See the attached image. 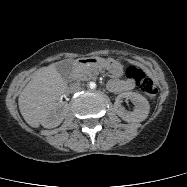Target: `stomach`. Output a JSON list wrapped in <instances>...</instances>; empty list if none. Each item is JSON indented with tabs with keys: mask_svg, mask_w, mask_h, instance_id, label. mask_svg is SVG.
Returning <instances> with one entry per match:
<instances>
[{
	"mask_svg": "<svg viewBox=\"0 0 187 187\" xmlns=\"http://www.w3.org/2000/svg\"><path fill=\"white\" fill-rule=\"evenodd\" d=\"M91 62L98 67L106 69L113 77H120L123 74V65L113 58L94 57Z\"/></svg>",
	"mask_w": 187,
	"mask_h": 187,
	"instance_id": "obj_1",
	"label": "stomach"
}]
</instances>
